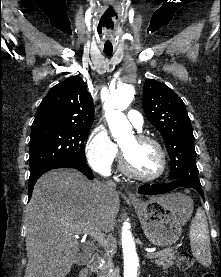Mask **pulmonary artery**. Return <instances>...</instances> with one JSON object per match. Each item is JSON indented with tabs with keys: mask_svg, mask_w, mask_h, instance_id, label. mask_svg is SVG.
Segmentation results:
<instances>
[{
	"mask_svg": "<svg viewBox=\"0 0 221 277\" xmlns=\"http://www.w3.org/2000/svg\"><path fill=\"white\" fill-rule=\"evenodd\" d=\"M128 120L137 129L141 130L143 126V117L136 110H129L127 113Z\"/></svg>",
	"mask_w": 221,
	"mask_h": 277,
	"instance_id": "obj_1",
	"label": "pulmonary artery"
}]
</instances>
